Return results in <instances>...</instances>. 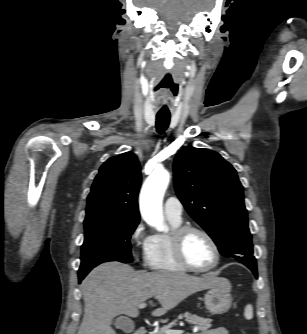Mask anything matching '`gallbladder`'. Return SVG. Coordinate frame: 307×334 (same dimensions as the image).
<instances>
[{"mask_svg":"<svg viewBox=\"0 0 307 334\" xmlns=\"http://www.w3.org/2000/svg\"><path fill=\"white\" fill-rule=\"evenodd\" d=\"M115 326L126 333H130L134 330V323L127 317H119L115 320Z\"/></svg>","mask_w":307,"mask_h":334,"instance_id":"bac80fb5","label":"gallbladder"}]
</instances>
